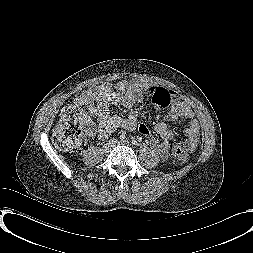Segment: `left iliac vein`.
Segmentation results:
<instances>
[{
	"label": "left iliac vein",
	"instance_id": "1",
	"mask_svg": "<svg viewBox=\"0 0 253 253\" xmlns=\"http://www.w3.org/2000/svg\"><path fill=\"white\" fill-rule=\"evenodd\" d=\"M122 144L127 145V146H130L129 141H124V142H122Z\"/></svg>",
	"mask_w": 253,
	"mask_h": 253
}]
</instances>
